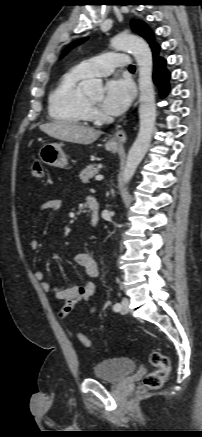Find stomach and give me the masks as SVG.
<instances>
[{"label":"stomach","mask_w":202,"mask_h":437,"mask_svg":"<svg viewBox=\"0 0 202 437\" xmlns=\"http://www.w3.org/2000/svg\"><path fill=\"white\" fill-rule=\"evenodd\" d=\"M105 149L110 152H117L119 145L113 141L105 143ZM41 161L49 166L64 168L67 166V156L62 150L61 144L47 143L39 151Z\"/></svg>","instance_id":"obj_1"}]
</instances>
